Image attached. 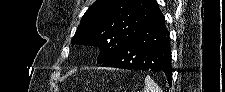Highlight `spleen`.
Wrapping results in <instances>:
<instances>
[{
	"label": "spleen",
	"instance_id": "1",
	"mask_svg": "<svg viewBox=\"0 0 225 92\" xmlns=\"http://www.w3.org/2000/svg\"><path fill=\"white\" fill-rule=\"evenodd\" d=\"M144 92H162L159 86L153 81V79L147 75L145 78Z\"/></svg>",
	"mask_w": 225,
	"mask_h": 92
}]
</instances>
